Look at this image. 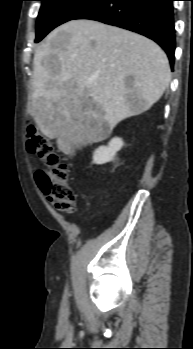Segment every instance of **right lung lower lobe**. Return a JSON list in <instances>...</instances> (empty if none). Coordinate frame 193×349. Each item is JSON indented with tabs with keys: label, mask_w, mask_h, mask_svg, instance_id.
<instances>
[{
	"label": "right lung lower lobe",
	"mask_w": 193,
	"mask_h": 349,
	"mask_svg": "<svg viewBox=\"0 0 193 349\" xmlns=\"http://www.w3.org/2000/svg\"><path fill=\"white\" fill-rule=\"evenodd\" d=\"M174 0H96L74 19H90L125 28L157 42L174 65Z\"/></svg>",
	"instance_id": "1"
}]
</instances>
